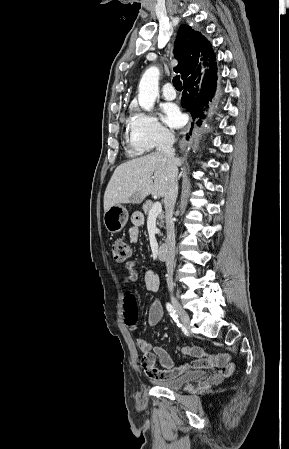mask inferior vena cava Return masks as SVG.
I'll return each mask as SVG.
<instances>
[{"mask_svg":"<svg viewBox=\"0 0 289 449\" xmlns=\"http://www.w3.org/2000/svg\"><path fill=\"white\" fill-rule=\"evenodd\" d=\"M175 137L172 133H166L159 144L158 151L163 153L167 158L169 168L168 173V191L164 197L166 211V248H167V286L170 291L173 290L172 273L175 258V229L173 220V211L178 196V169L173 144Z\"/></svg>","mask_w":289,"mask_h":449,"instance_id":"1","label":"inferior vena cava"}]
</instances>
